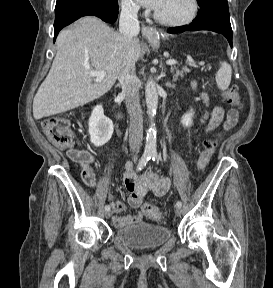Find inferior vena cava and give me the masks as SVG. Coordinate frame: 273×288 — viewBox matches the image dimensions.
<instances>
[{
	"instance_id": "602c4592",
	"label": "inferior vena cava",
	"mask_w": 273,
	"mask_h": 288,
	"mask_svg": "<svg viewBox=\"0 0 273 288\" xmlns=\"http://www.w3.org/2000/svg\"><path fill=\"white\" fill-rule=\"evenodd\" d=\"M138 9L133 6H125L121 10L119 19V31L126 38L127 53L124 58L118 80L125 95L126 107L130 117L129 145L133 151H138L143 139V117L139 103L138 78L135 74V62L133 59L134 40L140 31L138 21Z\"/></svg>"
}]
</instances>
